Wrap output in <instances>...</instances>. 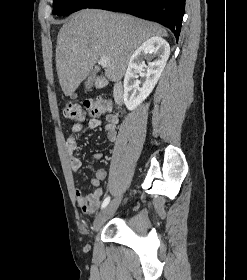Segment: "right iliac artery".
Returning a JSON list of instances; mask_svg holds the SVG:
<instances>
[{
  "label": "right iliac artery",
  "mask_w": 247,
  "mask_h": 280,
  "mask_svg": "<svg viewBox=\"0 0 247 280\" xmlns=\"http://www.w3.org/2000/svg\"><path fill=\"white\" fill-rule=\"evenodd\" d=\"M110 202V197H106L105 200L102 203L101 209L105 208Z\"/></svg>",
  "instance_id": "1"
}]
</instances>
